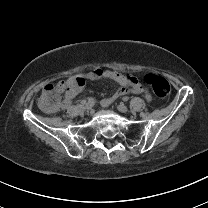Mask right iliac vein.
Returning a JSON list of instances; mask_svg holds the SVG:
<instances>
[{"label":"right iliac vein","instance_id":"obj_1","mask_svg":"<svg viewBox=\"0 0 208 208\" xmlns=\"http://www.w3.org/2000/svg\"><path fill=\"white\" fill-rule=\"evenodd\" d=\"M85 108H86V111L89 113V112L92 111L93 104L92 103H87L86 106H85Z\"/></svg>","mask_w":208,"mask_h":208}]
</instances>
